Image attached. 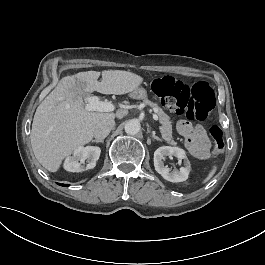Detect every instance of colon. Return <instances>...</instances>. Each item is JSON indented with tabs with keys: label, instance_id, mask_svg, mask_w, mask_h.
Returning <instances> with one entry per match:
<instances>
[{
	"label": "colon",
	"instance_id": "obj_1",
	"mask_svg": "<svg viewBox=\"0 0 265 265\" xmlns=\"http://www.w3.org/2000/svg\"><path fill=\"white\" fill-rule=\"evenodd\" d=\"M151 90L172 112L196 121L208 117L216 98V90L211 84L198 82L190 85L169 74L154 78ZM209 134L214 154H222L225 149L222 129L213 124L209 127Z\"/></svg>",
	"mask_w": 265,
	"mask_h": 265
}]
</instances>
